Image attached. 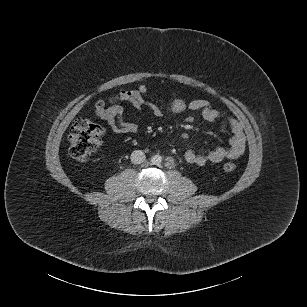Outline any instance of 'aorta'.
Here are the masks:
<instances>
[{
    "instance_id": "obj_1",
    "label": "aorta",
    "mask_w": 307,
    "mask_h": 307,
    "mask_svg": "<svg viewBox=\"0 0 307 307\" xmlns=\"http://www.w3.org/2000/svg\"><path fill=\"white\" fill-rule=\"evenodd\" d=\"M162 161H163V158L160 155H154L151 157V163L153 165H160Z\"/></svg>"
}]
</instances>
